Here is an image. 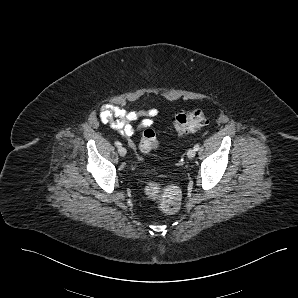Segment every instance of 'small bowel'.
Instances as JSON below:
<instances>
[{
  "mask_svg": "<svg viewBox=\"0 0 298 298\" xmlns=\"http://www.w3.org/2000/svg\"><path fill=\"white\" fill-rule=\"evenodd\" d=\"M157 115L158 109L154 106H148L139 111H127L113 104H105L101 107L99 118L103 124H110L121 136L130 138L136 131L133 126L134 121L145 116L140 127L148 128L153 125Z\"/></svg>",
  "mask_w": 298,
  "mask_h": 298,
  "instance_id": "small-bowel-1",
  "label": "small bowel"
}]
</instances>
